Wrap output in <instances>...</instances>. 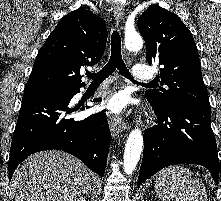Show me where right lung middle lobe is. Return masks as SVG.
<instances>
[{
  "mask_svg": "<svg viewBox=\"0 0 221 201\" xmlns=\"http://www.w3.org/2000/svg\"><path fill=\"white\" fill-rule=\"evenodd\" d=\"M63 90H56V89H28V90H24V92H39V93H60Z\"/></svg>",
  "mask_w": 221,
  "mask_h": 201,
  "instance_id": "dd1d6c3e",
  "label": "right lung middle lobe"
}]
</instances>
